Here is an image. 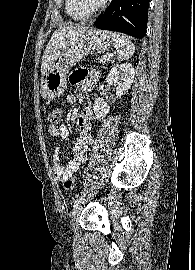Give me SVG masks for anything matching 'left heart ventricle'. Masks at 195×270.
Returning a JSON list of instances; mask_svg holds the SVG:
<instances>
[{
    "label": "left heart ventricle",
    "mask_w": 195,
    "mask_h": 270,
    "mask_svg": "<svg viewBox=\"0 0 195 270\" xmlns=\"http://www.w3.org/2000/svg\"><path fill=\"white\" fill-rule=\"evenodd\" d=\"M85 3L89 6H94L96 4H98L101 0H84Z\"/></svg>",
    "instance_id": "b2bd125f"
}]
</instances>
